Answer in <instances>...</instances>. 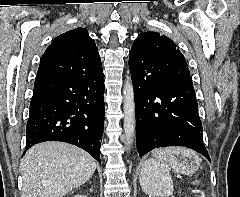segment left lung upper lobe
Masks as SVG:
<instances>
[{
	"instance_id": "left-lung-upper-lobe-1",
	"label": "left lung upper lobe",
	"mask_w": 240,
	"mask_h": 197,
	"mask_svg": "<svg viewBox=\"0 0 240 197\" xmlns=\"http://www.w3.org/2000/svg\"><path fill=\"white\" fill-rule=\"evenodd\" d=\"M130 70L155 71L160 75L191 81L185 57L167 36L147 31L138 35L129 54Z\"/></svg>"
}]
</instances>
